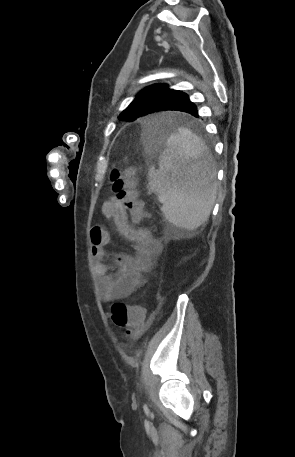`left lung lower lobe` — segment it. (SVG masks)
<instances>
[{
	"label": "left lung lower lobe",
	"instance_id": "0a47b994",
	"mask_svg": "<svg viewBox=\"0 0 295 457\" xmlns=\"http://www.w3.org/2000/svg\"><path fill=\"white\" fill-rule=\"evenodd\" d=\"M164 110L182 111L189 113L192 116L199 117L195 104L189 100L188 95L182 92L171 95L168 98L164 99L161 103L152 109L151 113ZM166 131L167 125L165 124L154 125L152 127V133L154 135L165 133Z\"/></svg>",
	"mask_w": 295,
	"mask_h": 457
}]
</instances>
